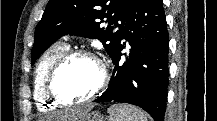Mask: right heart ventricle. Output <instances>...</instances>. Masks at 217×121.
Here are the masks:
<instances>
[{"mask_svg": "<svg viewBox=\"0 0 217 121\" xmlns=\"http://www.w3.org/2000/svg\"><path fill=\"white\" fill-rule=\"evenodd\" d=\"M69 51L67 43H58L49 48L40 58L34 75V99L41 110H53L56 106L46 94V81L52 66Z\"/></svg>", "mask_w": 217, "mask_h": 121, "instance_id": "obj_1", "label": "right heart ventricle"}]
</instances>
